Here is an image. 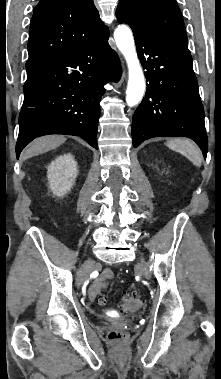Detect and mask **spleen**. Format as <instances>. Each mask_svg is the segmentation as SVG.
Here are the masks:
<instances>
[{"label": "spleen", "mask_w": 221, "mask_h": 379, "mask_svg": "<svg viewBox=\"0 0 221 379\" xmlns=\"http://www.w3.org/2000/svg\"><path fill=\"white\" fill-rule=\"evenodd\" d=\"M165 144L171 150H174L188 158L195 166H201L202 154L194 142L185 138H174L168 140Z\"/></svg>", "instance_id": "1"}]
</instances>
